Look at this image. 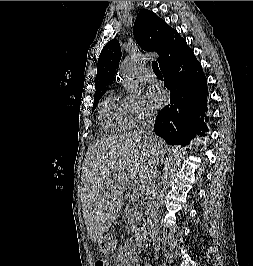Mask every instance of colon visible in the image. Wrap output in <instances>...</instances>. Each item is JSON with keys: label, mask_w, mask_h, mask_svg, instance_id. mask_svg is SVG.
<instances>
[{"label": "colon", "mask_w": 253, "mask_h": 266, "mask_svg": "<svg viewBox=\"0 0 253 266\" xmlns=\"http://www.w3.org/2000/svg\"><path fill=\"white\" fill-rule=\"evenodd\" d=\"M94 266H109V263L105 258H98L95 260Z\"/></svg>", "instance_id": "colon-1"}]
</instances>
